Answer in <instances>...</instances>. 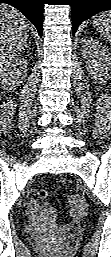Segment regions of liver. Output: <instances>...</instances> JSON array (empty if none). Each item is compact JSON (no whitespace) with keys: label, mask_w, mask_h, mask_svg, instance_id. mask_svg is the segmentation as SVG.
<instances>
[{"label":"liver","mask_w":111,"mask_h":257,"mask_svg":"<svg viewBox=\"0 0 111 257\" xmlns=\"http://www.w3.org/2000/svg\"><path fill=\"white\" fill-rule=\"evenodd\" d=\"M29 22L10 5L0 6V66L12 60L28 39Z\"/></svg>","instance_id":"6515ba94"}]
</instances>
